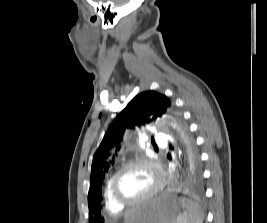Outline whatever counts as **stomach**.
<instances>
[{"instance_id":"1","label":"stomach","mask_w":267,"mask_h":223,"mask_svg":"<svg viewBox=\"0 0 267 223\" xmlns=\"http://www.w3.org/2000/svg\"><path fill=\"white\" fill-rule=\"evenodd\" d=\"M180 203L170 193H163L136 206L124 223H176Z\"/></svg>"}]
</instances>
